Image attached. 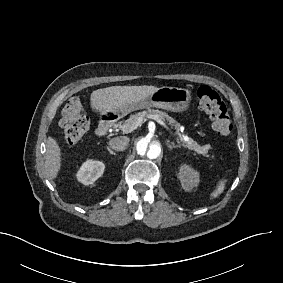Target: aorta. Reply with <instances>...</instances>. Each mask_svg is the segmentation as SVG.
<instances>
[{
    "label": "aorta",
    "mask_w": 283,
    "mask_h": 283,
    "mask_svg": "<svg viewBox=\"0 0 283 283\" xmlns=\"http://www.w3.org/2000/svg\"><path fill=\"white\" fill-rule=\"evenodd\" d=\"M163 144L160 136L144 134L135 141L136 155L145 163L158 162L163 154Z\"/></svg>",
    "instance_id": "762f6f07"
}]
</instances>
